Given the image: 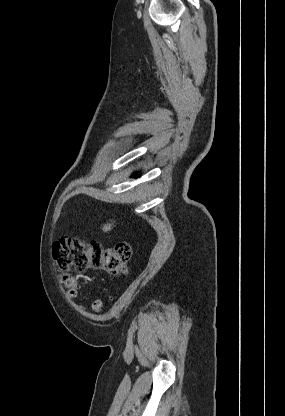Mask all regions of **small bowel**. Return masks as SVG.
<instances>
[{
  "instance_id": "small-bowel-1",
  "label": "small bowel",
  "mask_w": 285,
  "mask_h": 416,
  "mask_svg": "<svg viewBox=\"0 0 285 416\" xmlns=\"http://www.w3.org/2000/svg\"><path fill=\"white\" fill-rule=\"evenodd\" d=\"M77 294H78L77 291H72L68 296H69V298H72V297L76 296ZM102 307H103V302H102L101 299L94 298L92 300L91 308L95 313H101ZM80 309L85 310V307L83 305H80Z\"/></svg>"
}]
</instances>
